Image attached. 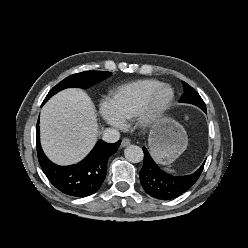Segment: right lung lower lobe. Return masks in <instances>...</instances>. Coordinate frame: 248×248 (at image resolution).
I'll return each mask as SVG.
<instances>
[{
  "instance_id": "98d812e1",
  "label": "right lung lower lobe",
  "mask_w": 248,
  "mask_h": 248,
  "mask_svg": "<svg viewBox=\"0 0 248 248\" xmlns=\"http://www.w3.org/2000/svg\"><path fill=\"white\" fill-rule=\"evenodd\" d=\"M120 143L121 141L108 144L99 140L94 149L79 163L59 166L45 156L40 145L39 121L37 122L36 146L40 166L49 181L62 193L70 196L86 197L100 188L106 177L107 161L117 151Z\"/></svg>"
}]
</instances>
